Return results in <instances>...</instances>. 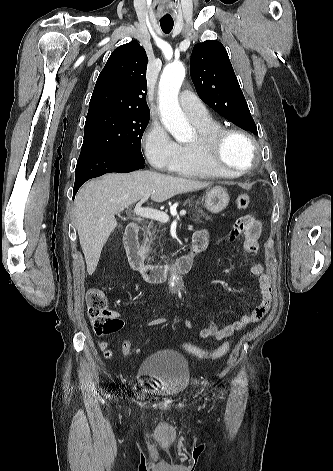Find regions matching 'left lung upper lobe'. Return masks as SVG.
I'll list each match as a JSON object with an SVG mask.
<instances>
[{
  "mask_svg": "<svg viewBox=\"0 0 333 471\" xmlns=\"http://www.w3.org/2000/svg\"><path fill=\"white\" fill-rule=\"evenodd\" d=\"M190 71L196 91L207 105L240 128L258 134L222 43L207 40L196 44Z\"/></svg>",
  "mask_w": 333,
  "mask_h": 471,
  "instance_id": "left-lung-upper-lobe-1",
  "label": "left lung upper lobe"
}]
</instances>
